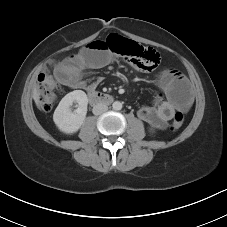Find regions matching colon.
I'll return each mask as SVG.
<instances>
[{
	"label": "colon",
	"mask_w": 227,
	"mask_h": 227,
	"mask_svg": "<svg viewBox=\"0 0 227 227\" xmlns=\"http://www.w3.org/2000/svg\"><path fill=\"white\" fill-rule=\"evenodd\" d=\"M103 41L108 50L126 58L141 71H152L160 63V55L155 50L144 48L138 43L119 35L112 34ZM57 88L58 84L48 70L38 76V104L43 111L48 112L52 109L56 101L55 91ZM183 123V113L177 112L171 123V129L178 130L183 126Z\"/></svg>",
	"instance_id": "obj_1"
}]
</instances>
